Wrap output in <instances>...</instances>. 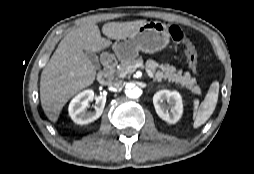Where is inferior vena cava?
<instances>
[{
	"label": "inferior vena cava",
	"mask_w": 254,
	"mask_h": 174,
	"mask_svg": "<svg viewBox=\"0 0 254 174\" xmlns=\"http://www.w3.org/2000/svg\"><path fill=\"white\" fill-rule=\"evenodd\" d=\"M123 82L121 80H114L110 83V86L118 89L122 86Z\"/></svg>",
	"instance_id": "inferior-vena-cava-1"
}]
</instances>
